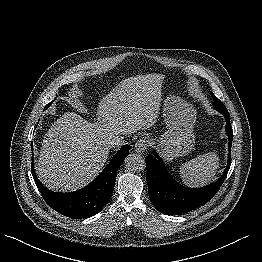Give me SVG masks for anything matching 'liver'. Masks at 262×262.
Instances as JSON below:
<instances>
[{
  "mask_svg": "<svg viewBox=\"0 0 262 262\" xmlns=\"http://www.w3.org/2000/svg\"><path fill=\"white\" fill-rule=\"evenodd\" d=\"M162 74H146L121 81L98 104L92 124L73 112L51 126L36 162L39 180L54 191H74L91 182L109 155L107 142L150 128L156 122Z\"/></svg>",
  "mask_w": 262,
  "mask_h": 262,
  "instance_id": "6515ba94",
  "label": "liver"
}]
</instances>
